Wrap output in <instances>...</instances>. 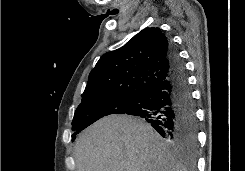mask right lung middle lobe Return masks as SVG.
<instances>
[{
    "instance_id": "1",
    "label": "right lung middle lobe",
    "mask_w": 245,
    "mask_h": 171,
    "mask_svg": "<svg viewBox=\"0 0 245 171\" xmlns=\"http://www.w3.org/2000/svg\"><path fill=\"white\" fill-rule=\"evenodd\" d=\"M140 96L122 95L98 100H84L75 111L72 121V141L76 135L97 121L110 114H124L130 107L137 104Z\"/></svg>"
}]
</instances>
